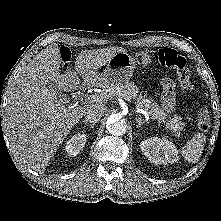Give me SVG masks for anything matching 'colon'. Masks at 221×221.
Here are the masks:
<instances>
[{"mask_svg": "<svg viewBox=\"0 0 221 221\" xmlns=\"http://www.w3.org/2000/svg\"><path fill=\"white\" fill-rule=\"evenodd\" d=\"M70 51L66 48L61 50V59L63 64L65 65L70 60ZM157 61L166 67H170L176 70L178 81L181 85V88L185 92H192L193 91V84L191 81V74L188 68V62L186 58L179 54L175 49L172 48H161L156 53ZM163 92H171L174 91L173 82L168 79L164 78L161 82ZM197 120H198V128L206 132L210 129L211 126V119L209 111L206 108H200L197 113Z\"/></svg>", "mask_w": 221, "mask_h": 221, "instance_id": "obj_1", "label": "colon"}]
</instances>
